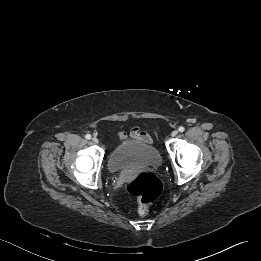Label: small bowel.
Instances as JSON below:
<instances>
[{"instance_id":"1","label":"small bowel","mask_w":261,"mask_h":261,"mask_svg":"<svg viewBox=\"0 0 261 261\" xmlns=\"http://www.w3.org/2000/svg\"><path fill=\"white\" fill-rule=\"evenodd\" d=\"M117 135L121 141H124L127 137L124 132H119ZM130 135H131V137H133L135 139H138V140H141V141H144L147 143L152 142V139L150 138V136L147 133L140 131L138 127H133L131 129Z\"/></svg>"}]
</instances>
